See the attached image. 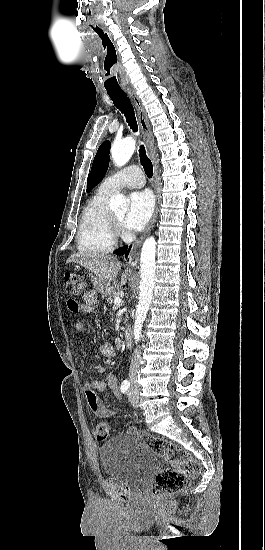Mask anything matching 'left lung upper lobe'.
<instances>
[{"mask_svg": "<svg viewBox=\"0 0 265 550\" xmlns=\"http://www.w3.org/2000/svg\"><path fill=\"white\" fill-rule=\"evenodd\" d=\"M109 141L103 142L93 160L91 172L88 176V192L104 177L109 162Z\"/></svg>", "mask_w": 265, "mask_h": 550, "instance_id": "1", "label": "left lung upper lobe"}]
</instances>
